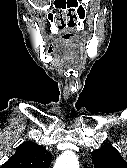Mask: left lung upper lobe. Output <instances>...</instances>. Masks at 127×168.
<instances>
[{
    "label": "left lung upper lobe",
    "mask_w": 127,
    "mask_h": 168,
    "mask_svg": "<svg viewBox=\"0 0 127 168\" xmlns=\"http://www.w3.org/2000/svg\"><path fill=\"white\" fill-rule=\"evenodd\" d=\"M94 168H127V162L110 143L92 152Z\"/></svg>",
    "instance_id": "obj_1"
}]
</instances>
